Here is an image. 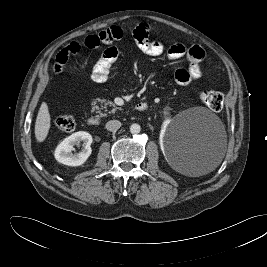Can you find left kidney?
<instances>
[{
    "mask_svg": "<svg viewBox=\"0 0 267 267\" xmlns=\"http://www.w3.org/2000/svg\"><path fill=\"white\" fill-rule=\"evenodd\" d=\"M165 114H167V112ZM169 122H170V119L166 118L164 123H163V126L166 127L169 124Z\"/></svg>",
    "mask_w": 267,
    "mask_h": 267,
    "instance_id": "obj_1",
    "label": "left kidney"
}]
</instances>
